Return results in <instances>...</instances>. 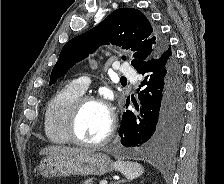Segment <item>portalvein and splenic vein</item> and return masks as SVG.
Masks as SVG:
<instances>
[{"label": "portal vein and splenic vein", "instance_id": "18ae733b", "mask_svg": "<svg viewBox=\"0 0 224 184\" xmlns=\"http://www.w3.org/2000/svg\"><path fill=\"white\" fill-rule=\"evenodd\" d=\"M99 184H107V181L106 180H102L99 182Z\"/></svg>", "mask_w": 224, "mask_h": 184}]
</instances>
